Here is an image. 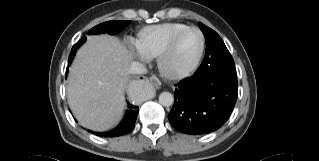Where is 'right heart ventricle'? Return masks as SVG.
Here are the masks:
<instances>
[{"label":"right heart ventricle","instance_id":"right-heart-ventricle-1","mask_svg":"<svg viewBox=\"0 0 319 161\" xmlns=\"http://www.w3.org/2000/svg\"><path fill=\"white\" fill-rule=\"evenodd\" d=\"M186 27V24L177 22L148 26L139 32L136 47L144 58L157 57L164 50L170 37Z\"/></svg>","mask_w":319,"mask_h":161}]
</instances>
